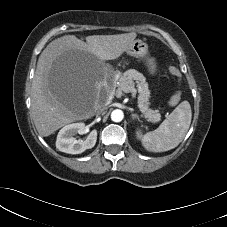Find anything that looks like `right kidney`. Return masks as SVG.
Returning <instances> with one entry per match:
<instances>
[{"mask_svg": "<svg viewBox=\"0 0 227 227\" xmlns=\"http://www.w3.org/2000/svg\"><path fill=\"white\" fill-rule=\"evenodd\" d=\"M84 133H86V126L83 122L64 126L57 135L56 148L65 153L80 154L86 149L94 147L97 140V130H92L85 140L78 141L75 138L77 134Z\"/></svg>", "mask_w": 227, "mask_h": 227, "instance_id": "ca27d5eb", "label": "right kidney"}]
</instances>
